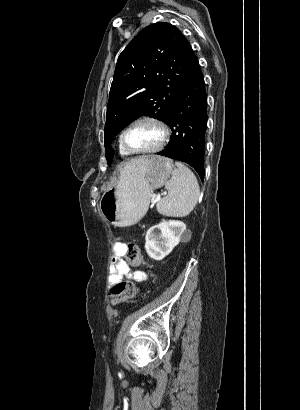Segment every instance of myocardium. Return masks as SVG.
I'll return each mask as SVG.
<instances>
[{
    "label": "myocardium",
    "mask_w": 300,
    "mask_h": 410,
    "mask_svg": "<svg viewBox=\"0 0 300 410\" xmlns=\"http://www.w3.org/2000/svg\"><path fill=\"white\" fill-rule=\"evenodd\" d=\"M140 122H151L154 123L155 125H157L159 127V129L161 130L162 133V137L160 142L153 148L150 149H142V150H136V149H132L129 148L126 144H125V134L126 132L135 124L140 123ZM170 138V129L168 127V125L160 118L156 117V116H151V115H144V116H140L136 119H134L133 121H131L120 133L119 136V144L120 146L126 150L130 155H141V154H153V153H157L159 151H161L166 144L168 143Z\"/></svg>",
    "instance_id": "f54148a6"
}]
</instances>
